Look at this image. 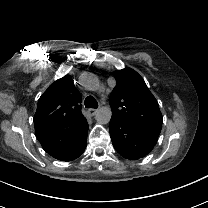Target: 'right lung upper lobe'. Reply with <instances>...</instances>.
I'll use <instances>...</instances> for the list:
<instances>
[{"label": "right lung upper lobe", "mask_w": 208, "mask_h": 208, "mask_svg": "<svg viewBox=\"0 0 208 208\" xmlns=\"http://www.w3.org/2000/svg\"><path fill=\"white\" fill-rule=\"evenodd\" d=\"M83 118L81 95L71 76L65 75L53 82L39 98L33 118L35 134L60 132Z\"/></svg>", "instance_id": "cb5924a9"}]
</instances>
